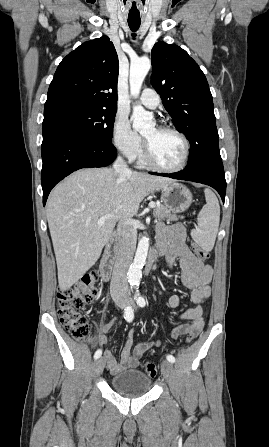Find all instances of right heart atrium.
<instances>
[{
	"instance_id": "d8ad5b80",
	"label": "right heart atrium",
	"mask_w": 269,
	"mask_h": 447,
	"mask_svg": "<svg viewBox=\"0 0 269 447\" xmlns=\"http://www.w3.org/2000/svg\"><path fill=\"white\" fill-rule=\"evenodd\" d=\"M112 140L114 145L129 159L138 158L143 149L141 136L135 132L128 118L117 113L112 128Z\"/></svg>"
}]
</instances>
